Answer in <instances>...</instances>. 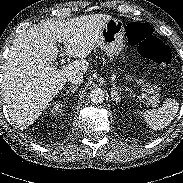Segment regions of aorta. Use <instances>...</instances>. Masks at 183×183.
Wrapping results in <instances>:
<instances>
[{"instance_id": "762f6f07", "label": "aorta", "mask_w": 183, "mask_h": 183, "mask_svg": "<svg viewBox=\"0 0 183 183\" xmlns=\"http://www.w3.org/2000/svg\"><path fill=\"white\" fill-rule=\"evenodd\" d=\"M91 102L94 104H101L105 99V94L102 89H94L90 92Z\"/></svg>"}]
</instances>
